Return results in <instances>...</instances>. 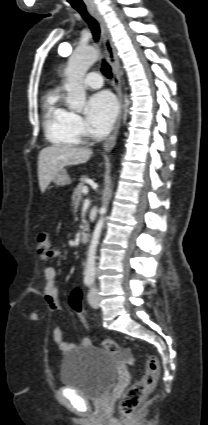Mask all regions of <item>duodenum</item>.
Returning a JSON list of instances; mask_svg holds the SVG:
<instances>
[{
    "mask_svg": "<svg viewBox=\"0 0 208 425\" xmlns=\"http://www.w3.org/2000/svg\"><path fill=\"white\" fill-rule=\"evenodd\" d=\"M80 239H81V241L83 243H86L88 241V239H89V233H88V229L87 228H84L81 231Z\"/></svg>",
    "mask_w": 208,
    "mask_h": 425,
    "instance_id": "410a0bca",
    "label": "duodenum"
}]
</instances>
